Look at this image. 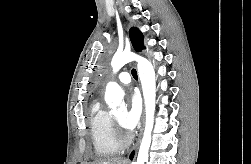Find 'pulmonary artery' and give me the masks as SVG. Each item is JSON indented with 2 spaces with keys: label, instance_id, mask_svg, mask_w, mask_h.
<instances>
[{
  "label": "pulmonary artery",
  "instance_id": "1",
  "mask_svg": "<svg viewBox=\"0 0 251 164\" xmlns=\"http://www.w3.org/2000/svg\"><path fill=\"white\" fill-rule=\"evenodd\" d=\"M118 81L121 84H129L131 82V76L128 72H121L118 75Z\"/></svg>",
  "mask_w": 251,
  "mask_h": 164
}]
</instances>
